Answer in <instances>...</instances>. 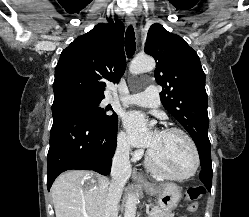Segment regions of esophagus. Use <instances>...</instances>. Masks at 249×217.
I'll return each mask as SVG.
<instances>
[{"mask_svg": "<svg viewBox=\"0 0 249 217\" xmlns=\"http://www.w3.org/2000/svg\"><path fill=\"white\" fill-rule=\"evenodd\" d=\"M126 19H127L128 24L135 25L136 21H135V18H134L132 13H129L127 15ZM132 177L138 185L142 186V185H146V183H147L146 179L140 173H138L136 170L133 171Z\"/></svg>", "mask_w": 249, "mask_h": 217, "instance_id": "obj_1", "label": "esophagus"}]
</instances>
